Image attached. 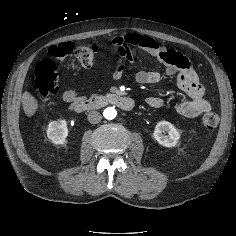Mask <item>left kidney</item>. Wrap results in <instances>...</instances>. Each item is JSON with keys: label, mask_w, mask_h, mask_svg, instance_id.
Here are the masks:
<instances>
[{"label": "left kidney", "mask_w": 236, "mask_h": 236, "mask_svg": "<svg viewBox=\"0 0 236 236\" xmlns=\"http://www.w3.org/2000/svg\"><path fill=\"white\" fill-rule=\"evenodd\" d=\"M165 132H167L168 135H165ZM153 137L162 146L174 147L180 138V134L170 122L160 121L155 126Z\"/></svg>", "instance_id": "5707ae66"}]
</instances>
